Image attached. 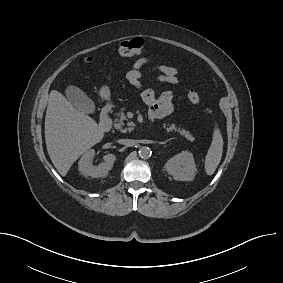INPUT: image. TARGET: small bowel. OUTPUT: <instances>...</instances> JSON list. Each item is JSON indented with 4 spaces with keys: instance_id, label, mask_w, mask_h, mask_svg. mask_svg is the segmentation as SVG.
I'll return each mask as SVG.
<instances>
[{
    "instance_id": "obj_1",
    "label": "small bowel",
    "mask_w": 283,
    "mask_h": 283,
    "mask_svg": "<svg viewBox=\"0 0 283 283\" xmlns=\"http://www.w3.org/2000/svg\"><path fill=\"white\" fill-rule=\"evenodd\" d=\"M149 63H151L150 58L140 57L131 65L127 71L126 78L132 86L140 88L145 73H153L155 80L158 82L178 83V71L176 68L157 65L147 71H143L142 68ZM141 97L144 103L149 106V117L152 120L165 118L173 111V95L170 91L158 94L153 89H145Z\"/></svg>"
}]
</instances>
